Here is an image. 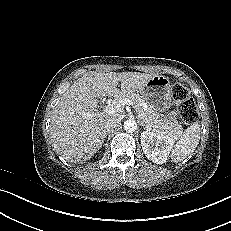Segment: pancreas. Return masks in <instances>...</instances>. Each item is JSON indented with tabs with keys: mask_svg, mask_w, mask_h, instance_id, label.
<instances>
[{
	"mask_svg": "<svg viewBox=\"0 0 231 231\" xmlns=\"http://www.w3.org/2000/svg\"><path fill=\"white\" fill-rule=\"evenodd\" d=\"M124 98L133 102L138 117L149 130L167 134L174 138H178L182 134L183 128L178 122H170L161 118L159 112L153 107L149 106L139 95L128 94L125 96H120L119 100Z\"/></svg>",
	"mask_w": 231,
	"mask_h": 231,
	"instance_id": "pancreas-1",
	"label": "pancreas"
}]
</instances>
